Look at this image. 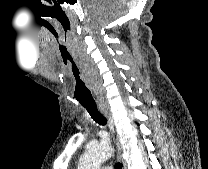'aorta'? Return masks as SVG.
I'll return each instance as SVG.
<instances>
[{
    "label": "aorta",
    "mask_w": 208,
    "mask_h": 169,
    "mask_svg": "<svg viewBox=\"0 0 208 169\" xmlns=\"http://www.w3.org/2000/svg\"><path fill=\"white\" fill-rule=\"evenodd\" d=\"M112 154L113 149L108 143H97L89 147L80 157L78 169H100L101 164Z\"/></svg>",
    "instance_id": "aorta-1"
}]
</instances>
